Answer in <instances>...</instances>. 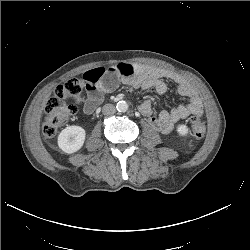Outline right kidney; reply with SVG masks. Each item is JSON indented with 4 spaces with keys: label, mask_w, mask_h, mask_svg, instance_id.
<instances>
[{
    "label": "right kidney",
    "mask_w": 250,
    "mask_h": 250,
    "mask_svg": "<svg viewBox=\"0 0 250 250\" xmlns=\"http://www.w3.org/2000/svg\"><path fill=\"white\" fill-rule=\"evenodd\" d=\"M85 130L80 126H68L63 129L58 136L59 148L67 153L72 154L77 152L84 144Z\"/></svg>",
    "instance_id": "obj_1"
}]
</instances>
